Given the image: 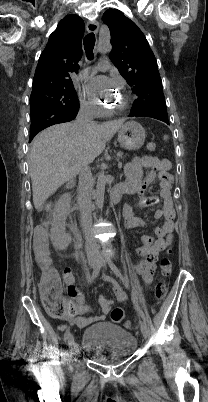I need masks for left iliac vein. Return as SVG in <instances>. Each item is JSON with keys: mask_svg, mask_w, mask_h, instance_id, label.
I'll use <instances>...</instances> for the list:
<instances>
[{"mask_svg": "<svg viewBox=\"0 0 208 402\" xmlns=\"http://www.w3.org/2000/svg\"><path fill=\"white\" fill-rule=\"evenodd\" d=\"M98 260H99V261H102V266H103V267H106L105 262H104L102 256H99ZM140 328H141V332H142L144 338L147 339V338H148V326H147L146 321H144V320H141V321H140Z\"/></svg>", "mask_w": 208, "mask_h": 402, "instance_id": "left-iliac-vein-1", "label": "left iliac vein"}]
</instances>
